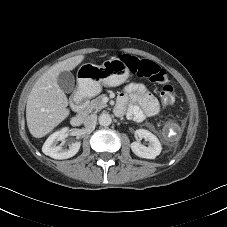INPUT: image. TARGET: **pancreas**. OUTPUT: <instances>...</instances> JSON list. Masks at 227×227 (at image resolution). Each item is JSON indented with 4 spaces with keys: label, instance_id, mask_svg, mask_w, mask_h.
Listing matches in <instances>:
<instances>
[{
    "label": "pancreas",
    "instance_id": "pancreas-1",
    "mask_svg": "<svg viewBox=\"0 0 227 227\" xmlns=\"http://www.w3.org/2000/svg\"><path fill=\"white\" fill-rule=\"evenodd\" d=\"M104 96L100 95L93 99L88 107L84 110V113H90V112H99L103 108L107 106V104L103 101Z\"/></svg>",
    "mask_w": 227,
    "mask_h": 227
}]
</instances>
